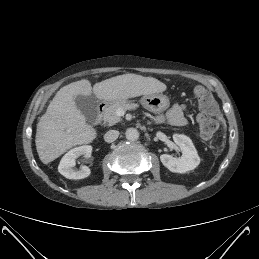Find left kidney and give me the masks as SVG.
Listing matches in <instances>:
<instances>
[{
    "instance_id": "left-kidney-1",
    "label": "left kidney",
    "mask_w": 259,
    "mask_h": 259,
    "mask_svg": "<svg viewBox=\"0 0 259 259\" xmlns=\"http://www.w3.org/2000/svg\"><path fill=\"white\" fill-rule=\"evenodd\" d=\"M173 140L179 146L182 156L175 158L168 154H162L160 155L162 164L174 173H186L195 169L200 163V158L192 140L183 134H174Z\"/></svg>"
}]
</instances>
